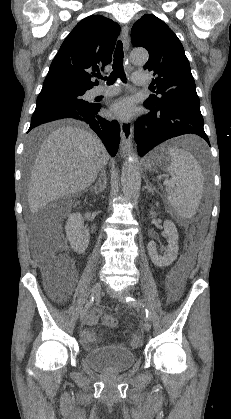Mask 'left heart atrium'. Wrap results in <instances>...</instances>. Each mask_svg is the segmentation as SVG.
<instances>
[{"label":"left heart atrium","mask_w":231,"mask_h":419,"mask_svg":"<svg viewBox=\"0 0 231 419\" xmlns=\"http://www.w3.org/2000/svg\"><path fill=\"white\" fill-rule=\"evenodd\" d=\"M133 111V103L129 99H123L111 106L110 115L113 118L126 120L133 115Z\"/></svg>","instance_id":"left-heart-atrium-1"}]
</instances>
